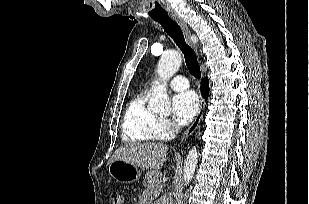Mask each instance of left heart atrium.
Segmentation results:
<instances>
[{"instance_id": "1", "label": "left heart atrium", "mask_w": 309, "mask_h": 204, "mask_svg": "<svg viewBox=\"0 0 309 204\" xmlns=\"http://www.w3.org/2000/svg\"><path fill=\"white\" fill-rule=\"evenodd\" d=\"M198 109L199 99L192 91L180 92L172 99L173 116L180 125H185L192 121Z\"/></svg>"}]
</instances>
